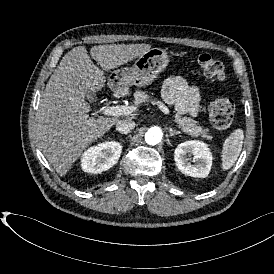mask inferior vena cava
Instances as JSON below:
<instances>
[{"instance_id": "obj_1", "label": "inferior vena cava", "mask_w": 274, "mask_h": 274, "mask_svg": "<svg viewBox=\"0 0 274 274\" xmlns=\"http://www.w3.org/2000/svg\"><path fill=\"white\" fill-rule=\"evenodd\" d=\"M135 128V122L132 120H119L116 123V130L121 134H128Z\"/></svg>"}]
</instances>
